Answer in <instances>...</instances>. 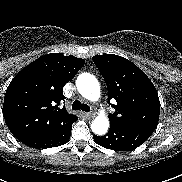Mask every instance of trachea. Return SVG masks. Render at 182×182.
Instances as JSON below:
<instances>
[{"instance_id":"obj_1","label":"trachea","mask_w":182,"mask_h":182,"mask_svg":"<svg viewBox=\"0 0 182 182\" xmlns=\"http://www.w3.org/2000/svg\"><path fill=\"white\" fill-rule=\"evenodd\" d=\"M72 109L73 110H82L85 112L90 111V107L87 104H82L80 101L75 100L72 104Z\"/></svg>"}]
</instances>
